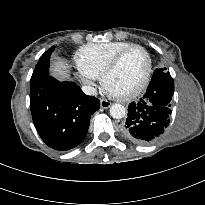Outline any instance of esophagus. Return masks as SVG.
<instances>
[{"instance_id":"obj_1","label":"esophagus","mask_w":205,"mask_h":205,"mask_svg":"<svg viewBox=\"0 0 205 205\" xmlns=\"http://www.w3.org/2000/svg\"><path fill=\"white\" fill-rule=\"evenodd\" d=\"M100 106L104 109H107L111 106V102H109L108 100L106 99H101L100 100Z\"/></svg>"}]
</instances>
